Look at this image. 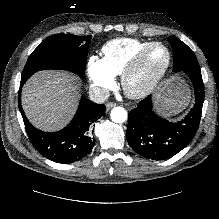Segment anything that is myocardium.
I'll use <instances>...</instances> for the list:
<instances>
[{
    "label": "myocardium",
    "instance_id": "1",
    "mask_svg": "<svg viewBox=\"0 0 219 219\" xmlns=\"http://www.w3.org/2000/svg\"><path fill=\"white\" fill-rule=\"evenodd\" d=\"M155 48H161L165 53V61L144 83L135 85L133 78L148 54ZM171 53L168 47L161 42H152L139 52L121 73V85L125 94L133 99H140L151 94L168 72L171 65Z\"/></svg>",
    "mask_w": 219,
    "mask_h": 219
}]
</instances>
